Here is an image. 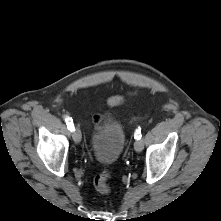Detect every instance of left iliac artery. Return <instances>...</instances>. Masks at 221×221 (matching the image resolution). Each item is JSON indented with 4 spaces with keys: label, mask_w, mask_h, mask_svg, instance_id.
<instances>
[{
    "label": "left iliac artery",
    "mask_w": 221,
    "mask_h": 221,
    "mask_svg": "<svg viewBox=\"0 0 221 221\" xmlns=\"http://www.w3.org/2000/svg\"><path fill=\"white\" fill-rule=\"evenodd\" d=\"M141 129L139 128V129H137L136 131H135V133H134V138L135 139H137V140H139V139H141Z\"/></svg>",
    "instance_id": "obj_1"
}]
</instances>
